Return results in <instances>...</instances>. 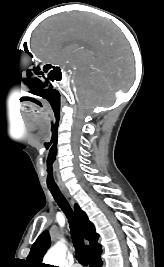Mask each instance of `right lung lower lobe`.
Returning a JSON list of instances; mask_svg holds the SVG:
<instances>
[{
    "label": "right lung lower lobe",
    "instance_id": "obj_1",
    "mask_svg": "<svg viewBox=\"0 0 164 267\" xmlns=\"http://www.w3.org/2000/svg\"><path fill=\"white\" fill-rule=\"evenodd\" d=\"M101 250L97 251L87 257V262L89 267H101L102 261L100 259Z\"/></svg>",
    "mask_w": 164,
    "mask_h": 267
}]
</instances>
